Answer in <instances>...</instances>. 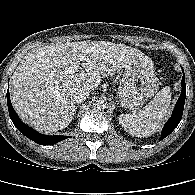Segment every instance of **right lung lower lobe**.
I'll list each match as a JSON object with an SVG mask.
<instances>
[{
  "mask_svg": "<svg viewBox=\"0 0 195 195\" xmlns=\"http://www.w3.org/2000/svg\"><path fill=\"white\" fill-rule=\"evenodd\" d=\"M7 105H8V111L10 118L15 125V127L27 138L33 140L37 144L40 145H53L55 143H58L66 138H69V136H49V135H43L32 129L31 127L27 126L25 123H23L16 112L14 111L11 101H10V95H9V89L7 92Z\"/></svg>",
  "mask_w": 195,
  "mask_h": 195,
  "instance_id": "98d812e1",
  "label": "right lung lower lobe"
}]
</instances>
